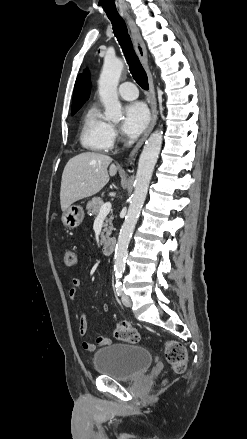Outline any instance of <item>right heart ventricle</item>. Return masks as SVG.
I'll list each match as a JSON object with an SVG mask.
<instances>
[{"mask_svg": "<svg viewBox=\"0 0 247 439\" xmlns=\"http://www.w3.org/2000/svg\"><path fill=\"white\" fill-rule=\"evenodd\" d=\"M79 140L82 147L93 152H107L113 147L111 125L96 105H91L82 116Z\"/></svg>", "mask_w": 247, "mask_h": 439, "instance_id": "obj_1", "label": "right heart ventricle"}]
</instances>
